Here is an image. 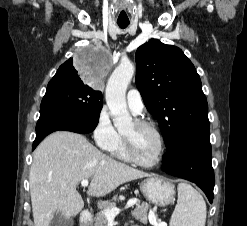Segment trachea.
Returning a JSON list of instances; mask_svg holds the SVG:
<instances>
[{
    "instance_id": "1",
    "label": "trachea",
    "mask_w": 247,
    "mask_h": 226,
    "mask_svg": "<svg viewBox=\"0 0 247 226\" xmlns=\"http://www.w3.org/2000/svg\"><path fill=\"white\" fill-rule=\"evenodd\" d=\"M128 25H129V23H118V26H119L121 29H125Z\"/></svg>"
}]
</instances>
